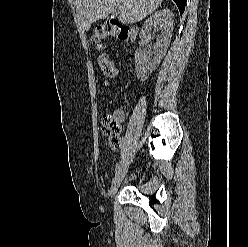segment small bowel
<instances>
[{"label":"small bowel","instance_id":"1","mask_svg":"<svg viewBox=\"0 0 248 247\" xmlns=\"http://www.w3.org/2000/svg\"><path fill=\"white\" fill-rule=\"evenodd\" d=\"M103 83H104L105 86H109V84H110V83H109L108 81H106V80H105ZM117 121H118V122H122V121H123V115H122V114H118V115H117Z\"/></svg>","mask_w":248,"mask_h":247}]
</instances>
